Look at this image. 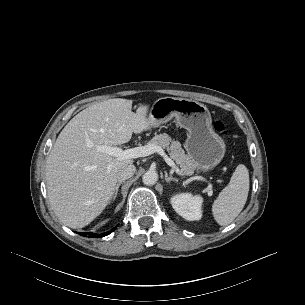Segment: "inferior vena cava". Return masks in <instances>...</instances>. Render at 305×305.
Listing matches in <instances>:
<instances>
[{
	"label": "inferior vena cava",
	"mask_w": 305,
	"mask_h": 305,
	"mask_svg": "<svg viewBox=\"0 0 305 305\" xmlns=\"http://www.w3.org/2000/svg\"><path fill=\"white\" fill-rule=\"evenodd\" d=\"M136 171V167L133 164H127L119 168L116 174L118 181H125L131 178Z\"/></svg>",
	"instance_id": "1"
}]
</instances>
